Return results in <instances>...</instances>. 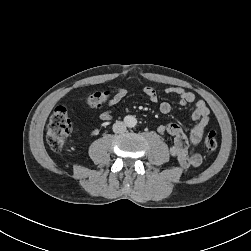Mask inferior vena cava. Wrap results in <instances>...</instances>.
I'll use <instances>...</instances> for the list:
<instances>
[{
	"label": "inferior vena cava",
	"mask_w": 251,
	"mask_h": 251,
	"mask_svg": "<svg viewBox=\"0 0 251 251\" xmlns=\"http://www.w3.org/2000/svg\"><path fill=\"white\" fill-rule=\"evenodd\" d=\"M126 131V124L122 121H117L113 125L114 133H123Z\"/></svg>",
	"instance_id": "602c4592"
}]
</instances>
